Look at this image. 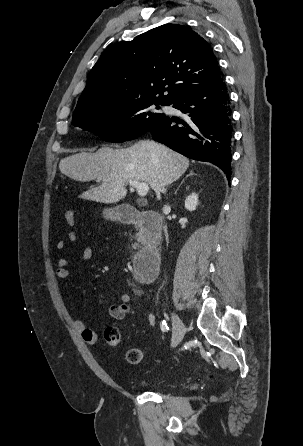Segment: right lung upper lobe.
Segmentation results:
<instances>
[{
  "mask_svg": "<svg viewBox=\"0 0 303 446\" xmlns=\"http://www.w3.org/2000/svg\"><path fill=\"white\" fill-rule=\"evenodd\" d=\"M221 78L203 37L187 26L165 24L107 47L73 115L138 100L170 105L184 93Z\"/></svg>",
  "mask_w": 303,
  "mask_h": 446,
  "instance_id": "cb5924a9",
  "label": "right lung upper lobe"
}]
</instances>
